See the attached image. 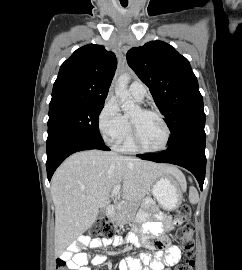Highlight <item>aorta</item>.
Listing matches in <instances>:
<instances>
[{"label":"aorta","mask_w":242,"mask_h":270,"mask_svg":"<svg viewBox=\"0 0 242 270\" xmlns=\"http://www.w3.org/2000/svg\"><path fill=\"white\" fill-rule=\"evenodd\" d=\"M130 76L122 74L117 80L115 94L120 99L121 108L127 114H132L140 109V107L131 99L128 91V83Z\"/></svg>","instance_id":"obj_1"}]
</instances>
